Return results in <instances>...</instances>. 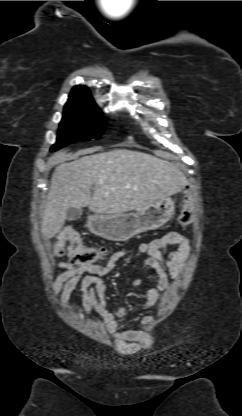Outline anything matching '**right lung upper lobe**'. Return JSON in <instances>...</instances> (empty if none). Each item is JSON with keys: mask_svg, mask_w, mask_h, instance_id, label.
<instances>
[{"mask_svg": "<svg viewBox=\"0 0 242 416\" xmlns=\"http://www.w3.org/2000/svg\"><path fill=\"white\" fill-rule=\"evenodd\" d=\"M94 103L90 91L85 86H75L69 95L68 105Z\"/></svg>", "mask_w": 242, "mask_h": 416, "instance_id": "obj_1", "label": "right lung upper lobe"}]
</instances>
